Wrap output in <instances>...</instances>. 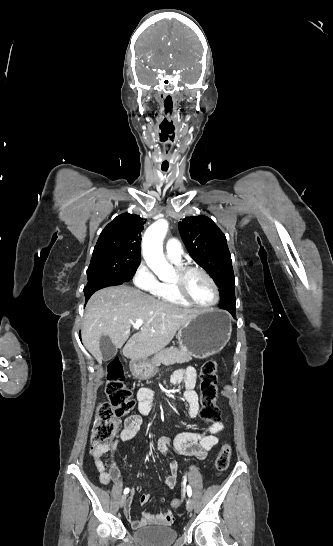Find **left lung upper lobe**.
<instances>
[{
	"label": "left lung upper lobe",
	"mask_w": 333,
	"mask_h": 546,
	"mask_svg": "<svg viewBox=\"0 0 333 546\" xmlns=\"http://www.w3.org/2000/svg\"><path fill=\"white\" fill-rule=\"evenodd\" d=\"M178 227L191 257L219 287L220 308L235 310V277L223 232L204 215L186 217Z\"/></svg>",
	"instance_id": "obj_1"
}]
</instances>
